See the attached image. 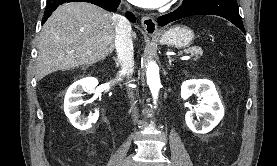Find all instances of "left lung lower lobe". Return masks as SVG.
Here are the masks:
<instances>
[{
  "instance_id": "1",
  "label": "left lung lower lobe",
  "mask_w": 277,
  "mask_h": 166,
  "mask_svg": "<svg viewBox=\"0 0 277 166\" xmlns=\"http://www.w3.org/2000/svg\"><path fill=\"white\" fill-rule=\"evenodd\" d=\"M193 15L221 16L232 22L246 34L236 0H193L188 3H182L175 11L159 17L157 21L160 26H164L170 22Z\"/></svg>"
}]
</instances>
